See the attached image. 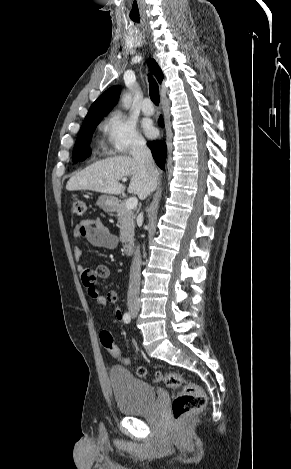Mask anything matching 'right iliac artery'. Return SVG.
<instances>
[{"instance_id":"1","label":"right iliac artery","mask_w":291,"mask_h":469,"mask_svg":"<svg viewBox=\"0 0 291 469\" xmlns=\"http://www.w3.org/2000/svg\"><path fill=\"white\" fill-rule=\"evenodd\" d=\"M123 321H124V323H126V324L130 323V321H131V316H130V314H129L128 312H126V313L123 315Z\"/></svg>"}]
</instances>
